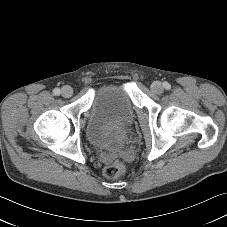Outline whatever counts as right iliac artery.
Masks as SVG:
<instances>
[{"label":"right iliac artery","instance_id":"obj_1","mask_svg":"<svg viewBox=\"0 0 227 227\" xmlns=\"http://www.w3.org/2000/svg\"><path fill=\"white\" fill-rule=\"evenodd\" d=\"M53 94H54L55 96H58V95L60 94V89H59V88H55V89L53 90Z\"/></svg>","mask_w":227,"mask_h":227}]
</instances>
